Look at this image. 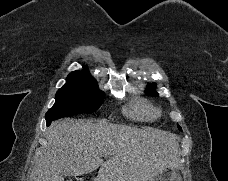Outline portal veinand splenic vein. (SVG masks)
<instances>
[{
    "instance_id": "18ae733b",
    "label": "portal vein and splenic vein",
    "mask_w": 228,
    "mask_h": 181,
    "mask_svg": "<svg viewBox=\"0 0 228 181\" xmlns=\"http://www.w3.org/2000/svg\"><path fill=\"white\" fill-rule=\"evenodd\" d=\"M102 157H105V159H107L108 155H102Z\"/></svg>"
}]
</instances>
